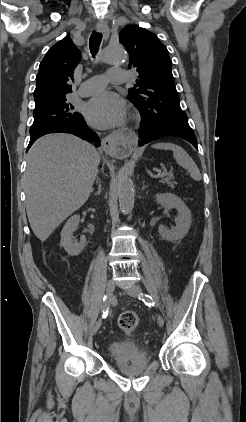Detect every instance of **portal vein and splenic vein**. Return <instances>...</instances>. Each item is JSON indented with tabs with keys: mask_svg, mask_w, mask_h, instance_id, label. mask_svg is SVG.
Instances as JSON below:
<instances>
[{
	"mask_svg": "<svg viewBox=\"0 0 246 422\" xmlns=\"http://www.w3.org/2000/svg\"><path fill=\"white\" fill-rule=\"evenodd\" d=\"M166 175H168V172L167 171H163L162 173H159L156 177H164Z\"/></svg>",
	"mask_w": 246,
	"mask_h": 422,
	"instance_id": "1",
	"label": "portal vein and splenic vein"
}]
</instances>
